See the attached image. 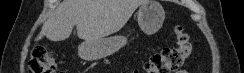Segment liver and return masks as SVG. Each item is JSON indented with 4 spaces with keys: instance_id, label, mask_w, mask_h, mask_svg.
Returning <instances> with one entry per match:
<instances>
[{
    "instance_id": "obj_1",
    "label": "liver",
    "mask_w": 244,
    "mask_h": 73,
    "mask_svg": "<svg viewBox=\"0 0 244 73\" xmlns=\"http://www.w3.org/2000/svg\"><path fill=\"white\" fill-rule=\"evenodd\" d=\"M147 0H63L43 24L36 41L67 39L76 26L80 39L99 40L119 31Z\"/></svg>"
}]
</instances>
